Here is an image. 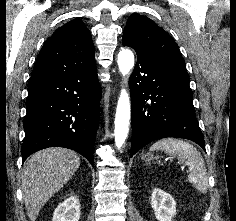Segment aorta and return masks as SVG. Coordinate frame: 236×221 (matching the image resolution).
I'll return each mask as SVG.
<instances>
[{
  "label": "aorta",
  "instance_id": "obj_1",
  "mask_svg": "<svg viewBox=\"0 0 236 221\" xmlns=\"http://www.w3.org/2000/svg\"><path fill=\"white\" fill-rule=\"evenodd\" d=\"M117 63L121 74L127 76L134 66L133 52L129 49H122L118 54ZM130 106L129 94L123 88L118 99L114 122L115 145L117 148H121L124 145L128 136L131 113Z\"/></svg>",
  "mask_w": 236,
  "mask_h": 221
}]
</instances>
